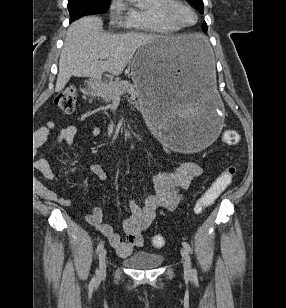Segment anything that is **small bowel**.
<instances>
[{
  "mask_svg": "<svg viewBox=\"0 0 286 308\" xmlns=\"http://www.w3.org/2000/svg\"><path fill=\"white\" fill-rule=\"evenodd\" d=\"M54 129L55 123L51 121L39 128L34 134L35 145L41 146L44 144L47 139L52 137ZM77 131L76 125H68L54 136V142L69 145L73 142ZM91 134L95 137L99 136L101 134L100 128L93 127ZM37 169L47 180L55 178L50 164L45 159L37 160ZM90 171L98 181L105 182L107 180V173L102 165L93 164ZM202 173V168L195 163H179L172 170H165L156 174L154 176L156 194L147 197L142 204L134 200L130 201L131 214L124 221V234L117 233L110 224L103 222V212L99 207L93 208L86 215V220L109 240L119 256H128L135 248L143 245V232L150 227L156 218L158 209L176 208L180 201V190L187 189L191 182L198 179ZM42 195L64 206L71 204L69 199L58 197L46 187L43 189Z\"/></svg>",
  "mask_w": 286,
  "mask_h": 308,
  "instance_id": "obj_1",
  "label": "small bowel"
}]
</instances>
